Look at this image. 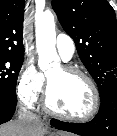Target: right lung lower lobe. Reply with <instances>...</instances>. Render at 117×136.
Here are the masks:
<instances>
[{
    "label": "right lung lower lobe",
    "mask_w": 117,
    "mask_h": 136,
    "mask_svg": "<svg viewBox=\"0 0 117 136\" xmlns=\"http://www.w3.org/2000/svg\"><path fill=\"white\" fill-rule=\"evenodd\" d=\"M16 104V93L0 92V124L12 118Z\"/></svg>",
    "instance_id": "1"
}]
</instances>
